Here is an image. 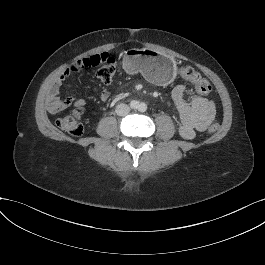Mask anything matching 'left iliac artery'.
I'll list each match as a JSON object with an SVG mask.
<instances>
[{
  "label": "left iliac artery",
  "mask_w": 265,
  "mask_h": 265,
  "mask_svg": "<svg viewBox=\"0 0 265 265\" xmlns=\"http://www.w3.org/2000/svg\"><path fill=\"white\" fill-rule=\"evenodd\" d=\"M146 108H147V106H146V104H144V103H141V104L139 105V110H140V111H145Z\"/></svg>",
  "instance_id": "1"
}]
</instances>
